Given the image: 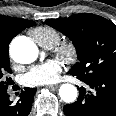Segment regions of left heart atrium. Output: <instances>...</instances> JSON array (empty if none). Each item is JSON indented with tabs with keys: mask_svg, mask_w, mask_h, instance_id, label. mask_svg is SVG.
Segmentation results:
<instances>
[{
	"mask_svg": "<svg viewBox=\"0 0 116 116\" xmlns=\"http://www.w3.org/2000/svg\"><path fill=\"white\" fill-rule=\"evenodd\" d=\"M63 68V63L58 58H51L40 64L32 66L24 75L26 85L39 86L55 83Z\"/></svg>",
	"mask_w": 116,
	"mask_h": 116,
	"instance_id": "39dd6f15",
	"label": "left heart atrium"
}]
</instances>
